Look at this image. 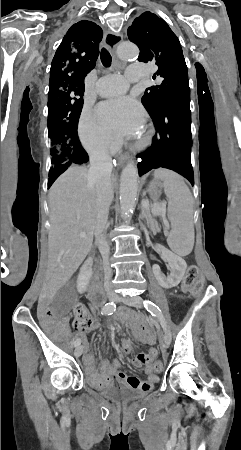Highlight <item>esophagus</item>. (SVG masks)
Returning a JSON list of instances; mask_svg holds the SVG:
<instances>
[{
    "mask_svg": "<svg viewBox=\"0 0 241 450\" xmlns=\"http://www.w3.org/2000/svg\"><path fill=\"white\" fill-rule=\"evenodd\" d=\"M123 40V35L121 33H113L110 31L105 32L104 34V43L111 51L113 57H116V49L119 43ZM129 155L126 153L121 155L118 158V166H123L124 163L129 160Z\"/></svg>",
    "mask_w": 241,
    "mask_h": 450,
    "instance_id": "1",
    "label": "esophagus"
}]
</instances>
